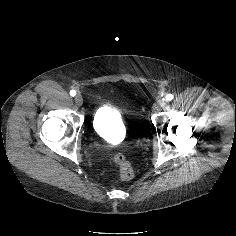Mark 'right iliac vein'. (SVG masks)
Segmentation results:
<instances>
[{"label": "right iliac vein", "instance_id": "1", "mask_svg": "<svg viewBox=\"0 0 236 236\" xmlns=\"http://www.w3.org/2000/svg\"><path fill=\"white\" fill-rule=\"evenodd\" d=\"M75 103H76V105H78V106H81V105L83 104V98H82L81 95H76V97H75Z\"/></svg>", "mask_w": 236, "mask_h": 236}]
</instances>
